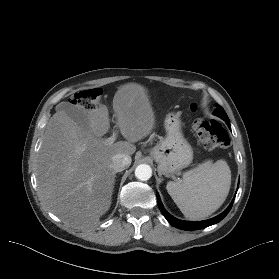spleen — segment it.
Returning <instances> with one entry per match:
<instances>
[{"label":"spleen","instance_id":"1","mask_svg":"<svg viewBox=\"0 0 279 279\" xmlns=\"http://www.w3.org/2000/svg\"><path fill=\"white\" fill-rule=\"evenodd\" d=\"M231 185V170L225 160L206 161L169 181L166 189L186 218L202 220L214 213L226 200Z\"/></svg>","mask_w":279,"mask_h":279}]
</instances>
